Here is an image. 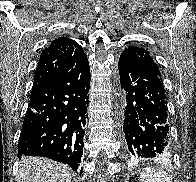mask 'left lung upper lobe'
Here are the masks:
<instances>
[{
    "mask_svg": "<svg viewBox=\"0 0 196 182\" xmlns=\"http://www.w3.org/2000/svg\"><path fill=\"white\" fill-rule=\"evenodd\" d=\"M121 55L131 58L135 63L151 70L161 79L159 68L156 66L153 58L142 47L130 46L125 48Z\"/></svg>",
    "mask_w": 196,
    "mask_h": 182,
    "instance_id": "5c2ea615",
    "label": "left lung upper lobe"
}]
</instances>
